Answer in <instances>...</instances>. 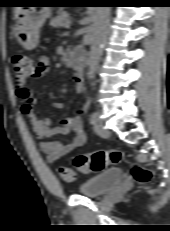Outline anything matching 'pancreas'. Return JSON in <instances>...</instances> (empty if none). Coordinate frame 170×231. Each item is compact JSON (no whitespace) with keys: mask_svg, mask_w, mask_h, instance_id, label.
<instances>
[{"mask_svg":"<svg viewBox=\"0 0 170 231\" xmlns=\"http://www.w3.org/2000/svg\"><path fill=\"white\" fill-rule=\"evenodd\" d=\"M69 14L65 11L60 12L55 18L51 19L50 26L57 28L65 26L68 21Z\"/></svg>","mask_w":170,"mask_h":231,"instance_id":"obj_1","label":"pancreas"}]
</instances>
